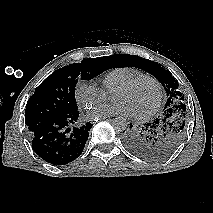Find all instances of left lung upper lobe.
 I'll return each instance as SVG.
<instances>
[{"mask_svg": "<svg viewBox=\"0 0 213 213\" xmlns=\"http://www.w3.org/2000/svg\"><path fill=\"white\" fill-rule=\"evenodd\" d=\"M112 60L113 67H137L152 74L163 85L168 99L161 117L156 119L154 132L146 137L147 151L143 156L153 160L168 157L176 150L186 130L187 110L178 81L161 64L135 55H113Z\"/></svg>", "mask_w": 213, "mask_h": 213, "instance_id": "obj_1", "label": "left lung upper lobe"}]
</instances>
